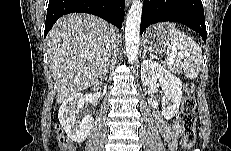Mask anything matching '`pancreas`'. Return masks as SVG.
<instances>
[{
  "instance_id": "obj_1",
  "label": "pancreas",
  "mask_w": 231,
  "mask_h": 151,
  "mask_svg": "<svg viewBox=\"0 0 231 151\" xmlns=\"http://www.w3.org/2000/svg\"><path fill=\"white\" fill-rule=\"evenodd\" d=\"M181 64L178 61L171 62L170 64L166 65L168 70L172 71L173 73H181Z\"/></svg>"
}]
</instances>
